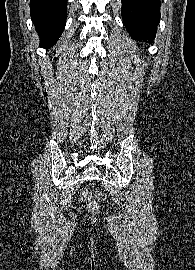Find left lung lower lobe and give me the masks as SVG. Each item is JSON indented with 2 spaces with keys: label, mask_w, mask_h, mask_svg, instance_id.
Listing matches in <instances>:
<instances>
[{
  "label": "left lung lower lobe",
  "mask_w": 195,
  "mask_h": 270,
  "mask_svg": "<svg viewBox=\"0 0 195 270\" xmlns=\"http://www.w3.org/2000/svg\"><path fill=\"white\" fill-rule=\"evenodd\" d=\"M126 30L135 40L153 42L160 20V0H121Z\"/></svg>",
  "instance_id": "obj_1"
}]
</instances>
